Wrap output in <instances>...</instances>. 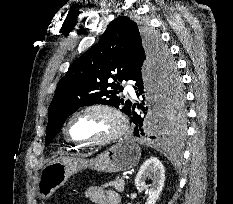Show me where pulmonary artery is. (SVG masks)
<instances>
[{"mask_svg":"<svg viewBox=\"0 0 233 204\" xmlns=\"http://www.w3.org/2000/svg\"><path fill=\"white\" fill-rule=\"evenodd\" d=\"M125 89L129 91L130 93H133V88L128 83L125 85Z\"/></svg>","mask_w":233,"mask_h":204,"instance_id":"pulmonary-artery-1","label":"pulmonary artery"}]
</instances>
